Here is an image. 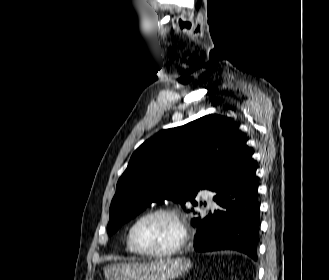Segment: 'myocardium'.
Returning <instances> with one entry per match:
<instances>
[{"instance_id":"f54148a6","label":"myocardium","mask_w":329,"mask_h":280,"mask_svg":"<svg viewBox=\"0 0 329 280\" xmlns=\"http://www.w3.org/2000/svg\"><path fill=\"white\" fill-rule=\"evenodd\" d=\"M157 215H164L173 220L179 232L178 240L174 246L166 250L150 251V250L142 249L137 245L135 241V230L143 220ZM187 239H188V233L182 218L180 217L177 211L166 207L155 208L139 216L133 222L128 233V240L134 252L149 257H167L176 254L184 247V245L187 242Z\"/></svg>"}]
</instances>
